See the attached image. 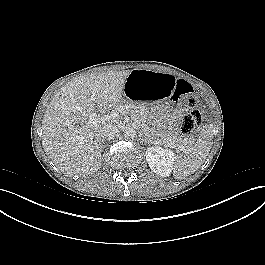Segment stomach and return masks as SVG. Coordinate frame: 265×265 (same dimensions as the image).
Wrapping results in <instances>:
<instances>
[{"label": "stomach", "mask_w": 265, "mask_h": 265, "mask_svg": "<svg viewBox=\"0 0 265 265\" xmlns=\"http://www.w3.org/2000/svg\"><path fill=\"white\" fill-rule=\"evenodd\" d=\"M175 78L153 70L137 69L128 75L123 89L126 99L141 101L139 122L151 136L161 137L174 124L172 105L168 99L173 92Z\"/></svg>", "instance_id": "1"}]
</instances>
